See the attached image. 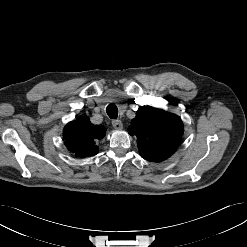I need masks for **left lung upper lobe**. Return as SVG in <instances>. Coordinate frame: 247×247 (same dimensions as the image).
Segmentation results:
<instances>
[{"label": "left lung upper lobe", "mask_w": 247, "mask_h": 247, "mask_svg": "<svg viewBox=\"0 0 247 247\" xmlns=\"http://www.w3.org/2000/svg\"><path fill=\"white\" fill-rule=\"evenodd\" d=\"M128 132L137 137L139 153L148 161L170 157L182 140L183 123L174 114L150 106L139 107Z\"/></svg>", "instance_id": "obj_1"}]
</instances>
